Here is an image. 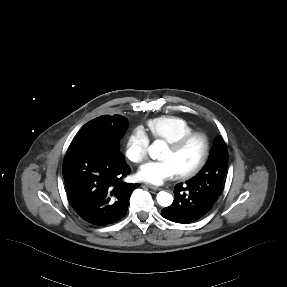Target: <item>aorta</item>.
Masks as SVG:
<instances>
[{
	"label": "aorta",
	"instance_id": "1",
	"mask_svg": "<svg viewBox=\"0 0 287 287\" xmlns=\"http://www.w3.org/2000/svg\"><path fill=\"white\" fill-rule=\"evenodd\" d=\"M166 149V144L164 141L156 140L149 147V155L152 159H158L162 151ZM157 202L162 207H168L173 202V197L170 193L165 191H160L157 194Z\"/></svg>",
	"mask_w": 287,
	"mask_h": 287
}]
</instances>
